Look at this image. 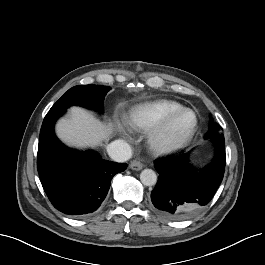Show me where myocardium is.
Segmentation results:
<instances>
[{"mask_svg": "<svg viewBox=\"0 0 265 265\" xmlns=\"http://www.w3.org/2000/svg\"><path fill=\"white\" fill-rule=\"evenodd\" d=\"M190 112L194 116V123L191 129L182 136H177L172 132V123L179 115ZM198 116L190 108L182 107L166 115L148 135V144L157 154L164 155L184 148L192 140L198 130Z\"/></svg>", "mask_w": 265, "mask_h": 265, "instance_id": "f54148a6", "label": "myocardium"}]
</instances>
